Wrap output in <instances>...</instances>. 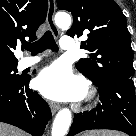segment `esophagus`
Returning a JSON list of instances; mask_svg holds the SVG:
<instances>
[{
    "label": "esophagus",
    "instance_id": "34e87169",
    "mask_svg": "<svg viewBox=\"0 0 136 136\" xmlns=\"http://www.w3.org/2000/svg\"><path fill=\"white\" fill-rule=\"evenodd\" d=\"M55 10H56L55 0H48L47 24H48L52 34L54 35V37L58 38L59 37V30L54 22ZM49 107L51 109L52 114H55L58 111L60 106L54 102H50Z\"/></svg>",
    "mask_w": 136,
    "mask_h": 136
}]
</instances>
